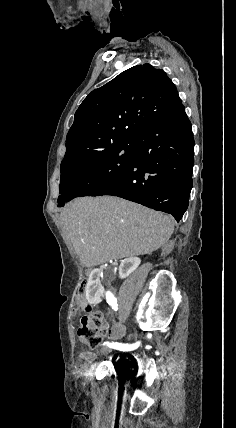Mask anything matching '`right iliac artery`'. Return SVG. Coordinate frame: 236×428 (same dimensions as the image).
I'll list each match as a JSON object with an SVG mask.
<instances>
[{
    "label": "right iliac artery",
    "instance_id": "right-iliac-artery-1",
    "mask_svg": "<svg viewBox=\"0 0 236 428\" xmlns=\"http://www.w3.org/2000/svg\"><path fill=\"white\" fill-rule=\"evenodd\" d=\"M106 300H107V303L110 306H112V309L117 311V309H118L117 308V306H118L117 299L114 297V295L111 292L106 293ZM103 345H106L110 348L117 349L120 351H131V350L137 349L140 345V342H136L134 344H122V343H118V342H115V343L114 342H112V343L104 342Z\"/></svg>",
    "mask_w": 236,
    "mask_h": 428
}]
</instances>
